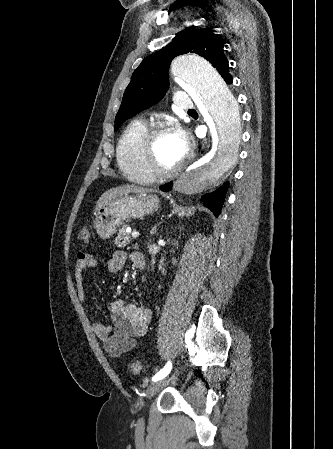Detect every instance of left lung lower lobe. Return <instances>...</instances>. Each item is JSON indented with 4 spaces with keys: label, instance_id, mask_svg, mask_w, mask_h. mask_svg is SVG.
<instances>
[{
    "label": "left lung lower lobe",
    "instance_id": "obj_1",
    "mask_svg": "<svg viewBox=\"0 0 333 449\" xmlns=\"http://www.w3.org/2000/svg\"><path fill=\"white\" fill-rule=\"evenodd\" d=\"M228 83H232V76L226 73L222 76ZM229 182H225L221 187L213 192L207 193L202 197L204 206L208 207L215 216H218L221 211V207L225 198L226 191L228 189ZM162 191H170L172 189V183H168L160 187Z\"/></svg>",
    "mask_w": 333,
    "mask_h": 449
}]
</instances>
